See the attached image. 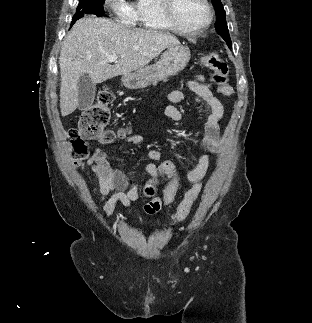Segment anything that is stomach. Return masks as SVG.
I'll return each mask as SVG.
<instances>
[{
	"mask_svg": "<svg viewBox=\"0 0 312 323\" xmlns=\"http://www.w3.org/2000/svg\"><path fill=\"white\" fill-rule=\"evenodd\" d=\"M190 56L191 52L187 46H181V44L169 46L159 62L152 64V66H146V68H140L132 74H123L121 82L129 90L147 88L149 84L156 82V80H163V78L176 76V74L182 72L186 68Z\"/></svg>",
	"mask_w": 312,
	"mask_h": 323,
	"instance_id": "0dacf381",
	"label": "stomach"
}]
</instances>
